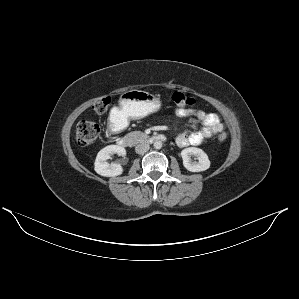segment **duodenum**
<instances>
[{"label":"duodenum","instance_id":"obj_1","mask_svg":"<svg viewBox=\"0 0 299 299\" xmlns=\"http://www.w3.org/2000/svg\"><path fill=\"white\" fill-rule=\"evenodd\" d=\"M117 128L116 122H110L108 126V130L110 132H113ZM166 138L164 135L158 134V135H152L149 137L150 142H157V141H164ZM118 144L121 147H129L130 146V139L128 137H121L118 140Z\"/></svg>","mask_w":299,"mask_h":299}]
</instances>
